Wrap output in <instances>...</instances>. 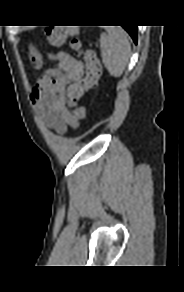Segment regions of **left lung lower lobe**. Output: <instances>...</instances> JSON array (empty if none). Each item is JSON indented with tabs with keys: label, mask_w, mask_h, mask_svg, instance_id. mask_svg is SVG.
I'll return each mask as SVG.
<instances>
[{
	"label": "left lung lower lobe",
	"mask_w": 184,
	"mask_h": 292,
	"mask_svg": "<svg viewBox=\"0 0 184 292\" xmlns=\"http://www.w3.org/2000/svg\"><path fill=\"white\" fill-rule=\"evenodd\" d=\"M124 29L130 34L132 37L133 41L137 43V26H123Z\"/></svg>",
	"instance_id": "0a47b994"
}]
</instances>
